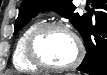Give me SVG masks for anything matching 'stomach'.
<instances>
[{
	"mask_svg": "<svg viewBox=\"0 0 107 75\" xmlns=\"http://www.w3.org/2000/svg\"><path fill=\"white\" fill-rule=\"evenodd\" d=\"M66 75H76V74H66Z\"/></svg>",
	"mask_w": 107,
	"mask_h": 75,
	"instance_id": "stomach-1",
	"label": "stomach"
}]
</instances>
